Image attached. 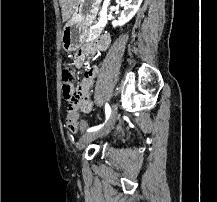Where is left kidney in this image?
Here are the masks:
<instances>
[{"label": "left kidney", "mask_w": 217, "mask_h": 202, "mask_svg": "<svg viewBox=\"0 0 217 202\" xmlns=\"http://www.w3.org/2000/svg\"><path fill=\"white\" fill-rule=\"evenodd\" d=\"M119 2H122V0H119ZM142 2L143 0H129V2H125L120 18H118V20H113L112 22L113 28H117V26H124V24L130 22L133 16L137 14Z\"/></svg>", "instance_id": "obj_1"}]
</instances>
